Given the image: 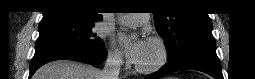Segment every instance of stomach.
<instances>
[{"mask_svg": "<svg viewBox=\"0 0 255 79\" xmlns=\"http://www.w3.org/2000/svg\"><path fill=\"white\" fill-rule=\"evenodd\" d=\"M168 79H174L173 77H169Z\"/></svg>", "mask_w": 255, "mask_h": 79, "instance_id": "0dacf381", "label": "stomach"}]
</instances>
